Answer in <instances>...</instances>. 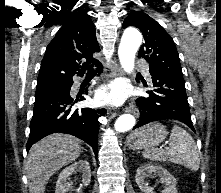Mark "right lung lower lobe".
Here are the masks:
<instances>
[{
    "label": "right lung lower lobe",
    "instance_id": "1",
    "mask_svg": "<svg viewBox=\"0 0 221 193\" xmlns=\"http://www.w3.org/2000/svg\"><path fill=\"white\" fill-rule=\"evenodd\" d=\"M97 66L98 72H102V65L98 63ZM72 84V80L54 84L35 94L30 135L26 146L27 151L43 137L62 132L87 142L97 156L98 118L104 115L106 111L105 109L91 108L72 109L73 99L70 96ZM83 99L82 97L80 100Z\"/></svg>",
    "mask_w": 221,
    "mask_h": 193
}]
</instances>
